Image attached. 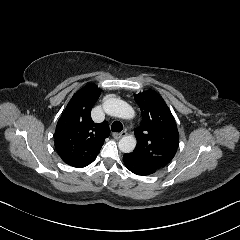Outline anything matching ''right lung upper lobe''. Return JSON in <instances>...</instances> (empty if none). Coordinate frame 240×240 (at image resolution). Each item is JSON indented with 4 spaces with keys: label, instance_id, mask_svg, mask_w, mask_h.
Segmentation results:
<instances>
[{
    "label": "right lung upper lobe",
    "instance_id": "cb5924a9",
    "mask_svg": "<svg viewBox=\"0 0 240 240\" xmlns=\"http://www.w3.org/2000/svg\"><path fill=\"white\" fill-rule=\"evenodd\" d=\"M101 89L88 84L76 92L58 120L55 131V148L61 159L77 168L93 162L105 138L110 135L106 121L97 124L91 119V109Z\"/></svg>",
    "mask_w": 240,
    "mask_h": 240
}]
</instances>
